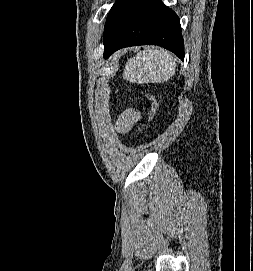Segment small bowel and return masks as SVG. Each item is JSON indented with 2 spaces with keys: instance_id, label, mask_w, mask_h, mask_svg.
<instances>
[{
  "instance_id": "small-bowel-1",
  "label": "small bowel",
  "mask_w": 253,
  "mask_h": 271,
  "mask_svg": "<svg viewBox=\"0 0 253 271\" xmlns=\"http://www.w3.org/2000/svg\"><path fill=\"white\" fill-rule=\"evenodd\" d=\"M140 117L141 115L137 110L127 109L121 114L116 123V128L118 132L122 135H127L130 132L134 131V126L139 121ZM135 132L139 131L136 130Z\"/></svg>"
}]
</instances>
